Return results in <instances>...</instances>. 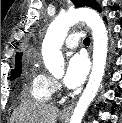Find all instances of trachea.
<instances>
[{"label": "trachea", "instance_id": "obj_1", "mask_svg": "<svg viewBox=\"0 0 122 123\" xmlns=\"http://www.w3.org/2000/svg\"><path fill=\"white\" fill-rule=\"evenodd\" d=\"M84 44L89 45L90 44V39L87 37L84 39Z\"/></svg>", "mask_w": 122, "mask_h": 123}]
</instances>
